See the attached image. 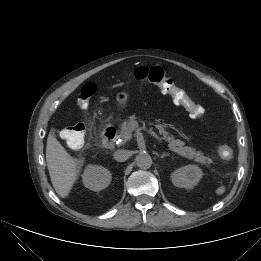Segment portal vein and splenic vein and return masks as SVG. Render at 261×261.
I'll list each match as a JSON object with an SVG mask.
<instances>
[{"mask_svg": "<svg viewBox=\"0 0 261 261\" xmlns=\"http://www.w3.org/2000/svg\"><path fill=\"white\" fill-rule=\"evenodd\" d=\"M149 133H150L154 138H156L159 142L162 143L161 138H160V137H159L155 132H153V131H149Z\"/></svg>", "mask_w": 261, "mask_h": 261, "instance_id": "obj_1", "label": "portal vein and splenic vein"}]
</instances>
